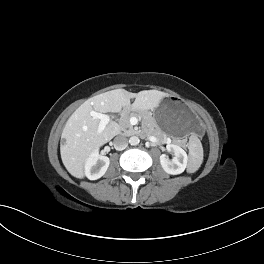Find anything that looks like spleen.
Masks as SVG:
<instances>
[{"mask_svg": "<svg viewBox=\"0 0 264 264\" xmlns=\"http://www.w3.org/2000/svg\"><path fill=\"white\" fill-rule=\"evenodd\" d=\"M190 161L188 164V172H196L202 164L203 161V148L200 140L197 136L192 135L190 137Z\"/></svg>", "mask_w": 264, "mask_h": 264, "instance_id": "1", "label": "spleen"}]
</instances>
